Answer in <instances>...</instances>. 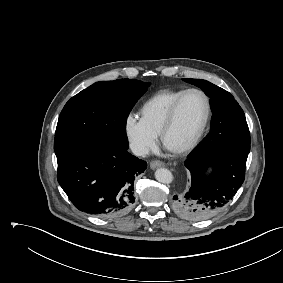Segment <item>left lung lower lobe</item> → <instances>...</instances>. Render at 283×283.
Returning a JSON list of instances; mask_svg holds the SVG:
<instances>
[{
  "mask_svg": "<svg viewBox=\"0 0 283 283\" xmlns=\"http://www.w3.org/2000/svg\"><path fill=\"white\" fill-rule=\"evenodd\" d=\"M247 157L248 153L236 150L190 154L185 166L191 173V186L184 195L173 197L176 213L188 220L218 213L244 182ZM209 167L213 171L206 175Z\"/></svg>",
  "mask_w": 283,
  "mask_h": 283,
  "instance_id": "left-lung-lower-lobe-1",
  "label": "left lung lower lobe"
}]
</instances>
